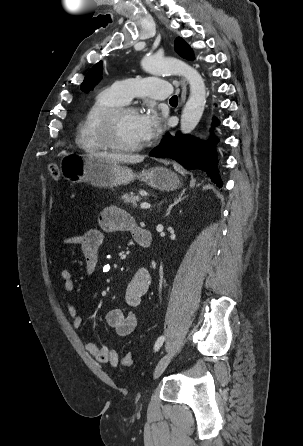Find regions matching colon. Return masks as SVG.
Returning <instances> with one entry per match:
<instances>
[{"label":"colon","mask_w":303,"mask_h":446,"mask_svg":"<svg viewBox=\"0 0 303 446\" xmlns=\"http://www.w3.org/2000/svg\"><path fill=\"white\" fill-rule=\"evenodd\" d=\"M49 169H50V173H51L52 177L55 180H60L61 179V177H62L61 171H60V169L56 165L51 164ZM132 362H133V355H132V353L131 352H125L122 355V357H121L122 365L130 366L132 364Z\"/></svg>","instance_id":"obj_1"}]
</instances>
